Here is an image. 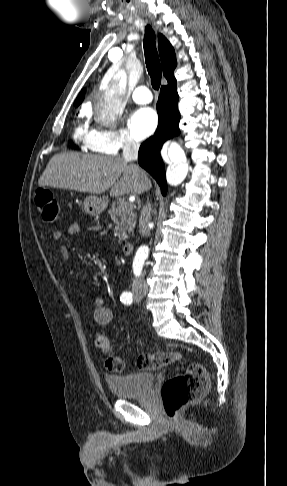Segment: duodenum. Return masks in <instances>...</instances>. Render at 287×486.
<instances>
[{"instance_id":"1","label":"duodenum","mask_w":287,"mask_h":486,"mask_svg":"<svg viewBox=\"0 0 287 486\" xmlns=\"http://www.w3.org/2000/svg\"><path fill=\"white\" fill-rule=\"evenodd\" d=\"M133 243L131 241H127L122 246V253L124 255H129L133 251Z\"/></svg>"}]
</instances>
